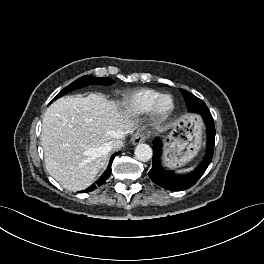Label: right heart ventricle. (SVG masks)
I'll use <instances>...</instances> for the list:
<instances>
[{"mask_svg":"<svg viewBox=\"0 0 264 264\" xmlns=\"http://www.w3.org/2000/svg\"><path fill=\"white\" fill-rule=\"evenodd\" d=\"M163 94L154 89H140L128 94L123 100L125 111L134 116L144 115Z\"/></svg>","mask_w":264,"mask_h":264,"instance_id":"right-heart-ventricle-1","label":"right heart ventricle"}]
</instances>
